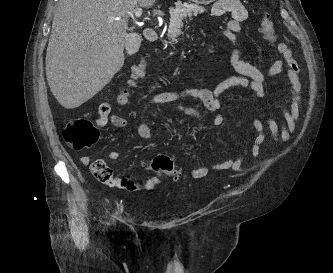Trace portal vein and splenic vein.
<instances>
[{"mask_svg":"<svg viewBox=\"0 0 333 273\" xmlns=\"http://www.w3.org/2000/svg\"><path fill=\"white\" fill-rule=\"evenodd\" d=\"M136 17H140L142 15V8L137 7L134 11ZM118 19V18H117Z\"/></svg>","mask_w":333,"mask_h":273,"instance_id":"18ae733b","label":"portal vein and splenic vein"}]
</instances>
